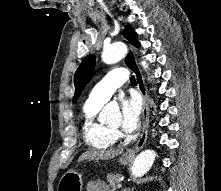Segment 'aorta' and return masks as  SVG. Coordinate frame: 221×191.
Listing matches in <instances>:
<instances>
[{"label":"aorta","mask_w":221,"mask_h":191,"mask_svg":"<svg viewBox=\"0 0 221 191\" xmlns=\"http://www.w3.org/2000/svg\"><path fill=\"white\" fill-rule=\"evenodd\" d=\"M127 52V47L124 43L117 42L109 45L103 50L102 60L106 64H113L124 58ZM144 69L148 68V64L145 61L141 62ZM118 107L111 105L105 106L102 116L108 117L110 114L117 112ZM155 160V152L153 150L142 151L135 159L132 166V174L135 177H141L149 171Z\"/></svg>","instance_id":"obj_1"}]
</instances>
